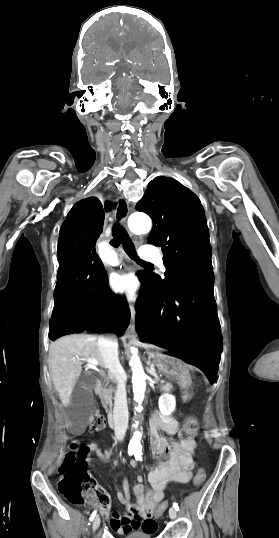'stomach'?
I'll return each instance as SVG.
<instances>
[{
  "label": "stomach",
  "instance_id": "0dacf381",
  "mask_svg": "<svg viewBox=\"0 0 279 538\" xmlns=\"http://www.w3.org/2000/svg\"><path fill=\"white\" fill-rule=\"evenodd\" d=\"M153 364L157 366L159 374H165L170 378L171 382H187L189 378L190 365L185 363L184 358H178L176 353H158L150 354ZM186 390L183 393V398L186 401H192L195 398V393L190 390L191 386L186 384Z\"/></svg>",
  "mask_w": 279,
  "mask_h": 538
}]
</instances>
